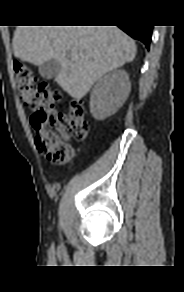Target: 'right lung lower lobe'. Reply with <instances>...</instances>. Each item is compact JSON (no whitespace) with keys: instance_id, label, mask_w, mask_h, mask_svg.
<instances>
[{"instance_id":"right-lung-lower-lobe-1","label":"right lung lower lobe","mask_w":184,"mask_h":292,"mask_svg":"<svg viewBox=\"0 0 184 292\" xmlns=\"http://www.w3.org/2000/svg\"><path fill=\"white\" fill-rule=\"evenodd\" d=\"M123 31H125L132 38L140 40L149 49L152 28L153 26L148 25H123L119 26Z\"/></svg>"}]
</instances>
